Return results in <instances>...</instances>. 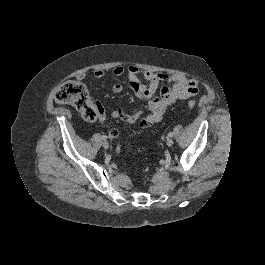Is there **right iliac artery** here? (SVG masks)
<instances>
[{"label":"right iliac artery","instance_id":"82829eb1","mask_svg":"<svg viewBox=\"0 0 265 265\" xmlns=\"http://www.w3.org/2000/svg\"><path fill=\"white\" fill-rule=\"evenodd\" d=\"M101 138H102V140H104V141L107 140V136H105V135H103Z\"/></svg>","mask_w":265,"mask_h":265}]
</instances>
